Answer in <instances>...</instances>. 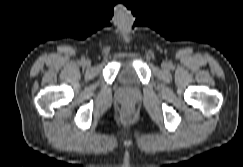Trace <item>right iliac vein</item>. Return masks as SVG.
<instances>
[{"instance_id":"obj_1","label":"right iliac vein","mask_w":243,"mask_h":167,"mask_svg":"<svg viewBox=\"0 0 243 167\" xmlns=\"http://www.w3.org/2000/svg\"><path fill=\"white\" fill-rule=\"evenodd\" d=\"M83 65L85 67H90L91 63H90V61L86 60V61L83 62Z\"/></svg>"}]
</instances>
